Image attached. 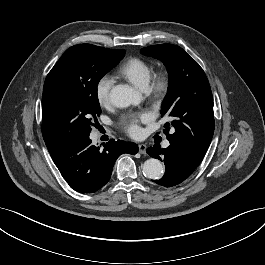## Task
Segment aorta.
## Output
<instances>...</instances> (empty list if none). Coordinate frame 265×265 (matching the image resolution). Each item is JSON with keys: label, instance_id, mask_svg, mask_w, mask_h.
<instances>
[{"label": "aorta", "instance_id": "1", "mask_svg": "<svg viewBox=\"0 0 265 265\" xmlns=\"http://www.w3.org/2000/svg\"><path fill=\"white\" fill-rule=\"evenodd\" d=\"M110 99L114 106L125 108L130 105H138L141 96L128 85H117L110 92ZM163 165L158 159L150 158L142 165V172L149 179H159L163 175Z\"/></svg>", "mask_w": 265, "mask_h": 265}]
</instances>
